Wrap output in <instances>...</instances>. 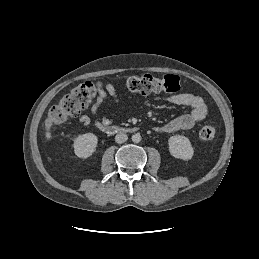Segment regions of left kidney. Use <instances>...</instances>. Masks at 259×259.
<instances>
[{
    "label": "left kidney",
    "mask_w": 259,
    "mask_h": 259,
    "mask_svg": "<svg viewBox=\"0 0 259 259\" xmlns=\"http://www.w3.org/2000/svg\"><path fill=\"white\" fill-rule=\"evenodd\" d=\"M170 154L179 159L190 160L194 154L190 140L182 135H175L168 140Z\"/></svg>",
    "instance_id": "1"
}]
</instances>
